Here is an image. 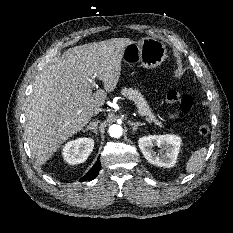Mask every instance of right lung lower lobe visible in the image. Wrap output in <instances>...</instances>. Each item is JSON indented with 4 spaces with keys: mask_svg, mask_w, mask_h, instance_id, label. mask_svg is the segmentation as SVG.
<instances>
[{
    "mask_svg": "<svg viewBox=\"0 0 233 233\" xmlns=\"http://www.w3.org/2000/svg\"><path fill=\"white\" fill-rule=\"evenodd\" d=\"M100 165L101 163L98 159L97 162L94 164V166L90 169V171L80 181L82 182L85 180H89V181L93 180L99 173Z\"/></svg>",
    "mask_w": 233,
    "mask_h": 233,
    "instance_id": "98d812e1",
    "label": "right lung lower lobe"
}]
</instances>
